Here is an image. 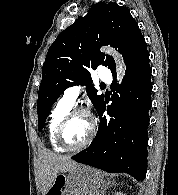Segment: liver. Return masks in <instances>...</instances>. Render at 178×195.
<instances>
[{
	"label": "liver",
	"mask_w": 178,
	"mask_h": 195,
	"mask_svg": "<svg viewBox=\"0 0 178 195\" xmlns=\"http://www.w3.org/2000/svg\"><path fill=\"white\" fill-rule=\"evenodd\" d=\"M39 179L42 195H45L52 187L58 174L70 171L79 166V164L68 156L52 153L43 150L39 156Z\"/></svg>",
	"instance_id": "liver-1"
}]
</instances>
